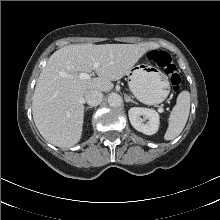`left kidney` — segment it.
<instances>
[{
    "label": "left kidney",
    "instance_id": "obj_1",
    "mask_svg": "<svg viewBox=\"0 0 220 220\" xmlns=\"http://www.w3.org/2000/svg\"><path fill=\"white\" fill-rule=\"evenodd\" d=\"M129 120L131 125L139 132L146 135H153L158 131L159 128V114L149 108L133 107L128 111ZM143 116L146 123H143Z\"/></svg>",
    "mask_w": 220,
    "mask_h": 220
}]
</instances>
